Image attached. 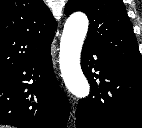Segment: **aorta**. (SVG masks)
<instances>
[{"label":"aorta","mask_w":142,"mask_h":128,"mask_svg":"<svg viewBox=\"0 0 142 128\" xmlns=\"http://www.w3.org/2000/svg\"><path fill=\"white\" fill-rule=\"evenodd\" d=\"M88 25L85 14H73L65 23L60 42L59 63L62 77L68 90L77 98H86L90 92L88 81L80 66V55Z\"/></svg>","instance_id":"762f6f07"}]
</instances>
